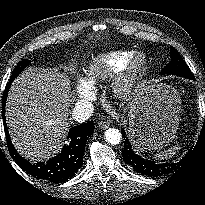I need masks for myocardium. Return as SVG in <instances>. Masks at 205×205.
Wrapping results in <instances>:
<instances>
[{"mask_svg": "<svg viewBox=\"0 0 205 205\" xmlns=\"http://www.w3.org/2000/svg\"><path fill=\"white\" fill-rule=\"evenodd\" d=\"M146 66V56L136 53L111 80V92L120 99L130 98L136 91Z\"/></svg>", "mask_w": 205, "mask_h": 205, "instance_id": "1", "label": "myocardium"}]
</instances>
